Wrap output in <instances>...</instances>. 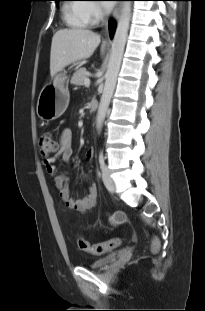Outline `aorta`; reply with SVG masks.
I'll return each mask as SVG.
<instances>
[{
  "instance_id": "obj_1",
  "label": "aorta",
  "mask_w": 205,
  "mask_h": 311,
  "mask_svg": "<svg viewBox=\"0 0 205 311\" xmlns=\"http://www.w3.org/2000/svg\"><path fill=\"white\" fill-rule=\"evenodd\" d=\"M131 18V1H123L118 18L117 29L112 42L111 55L105 74V86L100 100L96 118V127L102 128L120 70L124 48L127 40L128 29Z\"/></svg>"
}]
</instances>
